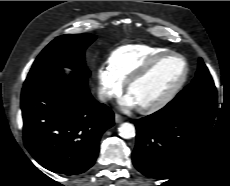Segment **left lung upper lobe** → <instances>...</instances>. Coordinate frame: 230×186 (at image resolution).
Segmentation results:
<instances>
[{
  "label": "left lung upper lobe",
  "mask_w": 230,
  "mask_h": 186,
  "mask_svg": "<svg viewBox=\"0 0 230 186\" xmlns=\"http://www.w3.org/2000/svg\"><path fill=\"white\" fill-rule=\"evenodd\" d=\"M216 92V87L212 80V77L204 64L203 60L199 59V68L196 73V77L193 81L185 87L174 100L184 99L187 97L200 95L203 93Z\"/></svg>",
  "instance_id": "5c2ea615"
}]
</instances>
